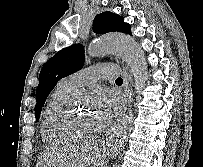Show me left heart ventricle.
<instances>
[{
	"label": "left heart ventricle",
	"mask_w": 203,
	"mask_h": 167,
	"mask_svg": "<svg viewBox=\"0 0 203 167\" xmlns=\"http://www.w3.org/2000/svg\"><path fill=\"white\" fill-rule=\"evenodd\" d=\"M82 101H78L73 117V127L81 134H89L98 131L99 125L96 114L88 106H81Z\"/></svg>",
	"instance_id": "left-heart-ventricle-1"
}]
</instances>
